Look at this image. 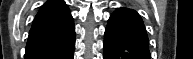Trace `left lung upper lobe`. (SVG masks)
Returning <instances> with one entry per match:
<instances>
[{
    "label": "left lung upper lobe",
    "instance_id": "5c2ea615",
    "mask_svg": "<svg viewBox=\"0 0 193 59\" xmlns=\"http://www.w3.org/2000/svg\"><path fill=\"white\" fill-rule=\"evenodd\" d=\"M119 11L127 12V13H130L132 15H138V13H136L134 10H131V9L121 8V9H118L117 11H115V12H119Z\"/></svg>",
    "mask_w": 193,
    "mask_h": 59
}]
</instances>
